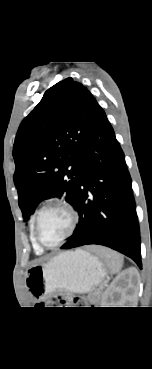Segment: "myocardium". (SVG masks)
<instances>
[{"instance_id":"1","label":"myocardium","mask_w":152,"mask_h":369,"mask_svg":"<svg viewBox=\"0 0 152 369\" xmlns=\"http://www.w3.org/2000/svg\"><path fill=\"white\" fill-rule=\"evenodd\" d=\"M51 206H60L64 208L69 216H70V226L67 231V233L56 243L52 245L45 244L39 236V220L42 215V213ZM79 222V214L76 211L75 207L66 199L59 198V197H53L48 199L46 202L42 204V206L38 209L36 212L34 222H33V236L36 241V243L42 248V249H54L58 246H60L62 243H64L67 239H69L73 233L75 232L77 225Z\"/></svg>"}]
</instances>
